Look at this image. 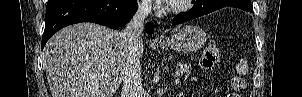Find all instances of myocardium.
Listing matches in <instances>:
<instances>
[{"mask_svg": "<svg viewBox=\"0 0 302 97\" xmlns=\"http://www.w3.org/2000/svg\"><path fill=\"white\" fill-rule=\"evenodd\" d=\"M191 0H182V1H179L178 3H175V4H171L169 7H168V10L173 12V13H181L183 11H185L189 4H190Z\"/></svg>", "mask_w": 302, "mask_h": 97, "instance_id": "obj_1", "label": "myocardium"}]
</instances>
